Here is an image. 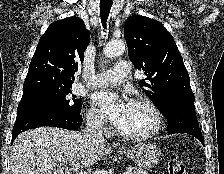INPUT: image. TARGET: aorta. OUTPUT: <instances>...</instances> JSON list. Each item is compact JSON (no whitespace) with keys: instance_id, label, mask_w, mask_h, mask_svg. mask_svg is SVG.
Here are the masks:
<instances>
[{"instance_id":"762f6f07","label":"aorta","mask_w":224,"mask_h":174,"mask_svg":"<svg viewBox=\"0 0 224 174\" xmlns=\"http://www.w3.org/2000/svg\"><path fill=\"white\" fill-rule=\"evenodd\" d=\"M125 50V44L122 40H111L104 47V55L109 58L121 55Z\"/></svg>"}]
</instances>
